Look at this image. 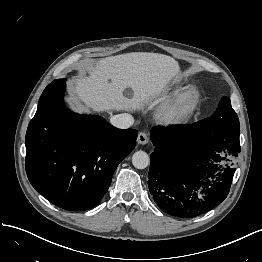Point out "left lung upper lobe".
<instances>
[{"instance_id":"obj_1","label":"left lung upper lobe","mask_w":262,"mask_h":262,"mask_svg":"<svg viewBox=\"0 0 262 262\" xmlns=\"http://www.w3.org/2000/svg\"><path fill=\"white\" fill-rule=\"evenodd\" d=\"M195 126L212 133L240 130L238 116L233 110L228 97H223L221 99L219 107L211 117L195 123Z\"/></svg>"}]
</instances>
